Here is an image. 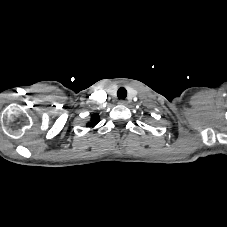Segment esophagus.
<instances>
[{"label": "esophagus", "mask_w": 227, "mask_h": 227, "mask_svg": "<svg viewBox=\"0 0 227 227\" xmlns=\"http://www.w3.org/2000/svg\"><path fill=\"white\" fill-rule=\"evenodd\" d=\"M120 105H125L126 104V101L125 100H119L118 102Z\"/></svg>", "instance_id": "obj_1"}]
</instances>
